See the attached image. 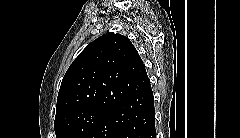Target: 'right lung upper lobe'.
<instances>
[{
	"label": "right lung upper lobe",
	"mask_w": 240,
	"mask_h": 138,
	"mask_svg": "<svg viewBox=\"0 0 240 138\" xmlns=\"http://www.w3.org/2000/svg\"><path fill=\"white\" fill-rule=\"evenodd\" d=\"M150 85L131 41L113 32L90 43L64 75L55 120L86 110H109Z\"/></svg>",
	"instance_id": "right-lung-upper-lobe-1"
}]
</instances>
